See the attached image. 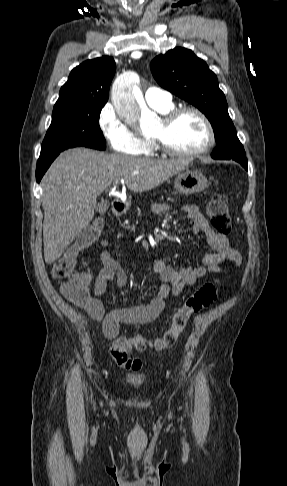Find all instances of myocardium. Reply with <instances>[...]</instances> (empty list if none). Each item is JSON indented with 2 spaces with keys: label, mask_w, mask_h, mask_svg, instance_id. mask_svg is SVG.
I'll use <instances>...</instances> for the list:
<instances>
[{
  "label": "myocardium",
  "mask_w": 287,
  "mask_h": 486,
  "mask_svg": "<svg viewBox=\"0 0 287 486\" xmlns=\"http://www.w3.org/2000/svg\"><path fill=\"white\" fill-rule=\"evenodd\" d=\"M185 113H193L196 116H198L200 120L203 122L207 133L206 144L203 147L193 151L177 150L173 148L167 140V134L170 128L175 123V121ZM161 125L162 127L160 133L153 135L151 137V141L159 151L169 156L179 157V158H193L208 153L215 145L216 137H215L213 126L209 118L205 115V113L202 112L197 107L181 106L177 108H172L170 111L163 114L161 118Z\"/></svg>",
  "instance_id": "f54148a6"
}]
</instances>
